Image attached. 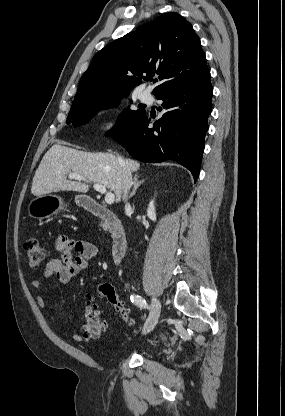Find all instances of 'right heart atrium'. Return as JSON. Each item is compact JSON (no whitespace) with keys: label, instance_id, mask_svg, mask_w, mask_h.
<instances>
[{"label":"right heart atrium","instance_id":"1","mask_svg":"<svg viewBox=\"0 0 285 416\" xmlns=\"http://www.w3.org/2000/svg\"><path fill=\"white\" fill-rule=\"evenodd\" d=\"M114 126V122L111 119H106L101 126V130L105 133H109L113 130Z\"/></svg>","mask_w":285,"mask_h":416}]
</instances>
